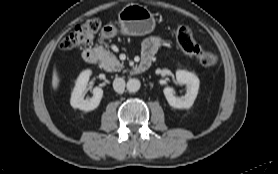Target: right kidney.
Masks as SVG:
<instances>
[{
    "label": "right kidney",
    "instance_id": "ca27d5eb",
    "mask_svg": "<svg viewBox=\"0 0 278 174\" xmlns=\"http://www.w3.org/2000/svg\"><path fill=\"white\" fill-rule=\"evenodd\" d=\"M91 73V70H85L77 78L76 85L71 94L70 100V104L73 108H78L80 110L88 112L98 107L103 96V90L101 88L95 87L92 90V98L84 99Z\"/></svg>",
    "mask_w": 278,
    "mask_h": 174
}]
</instances>
